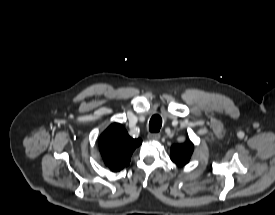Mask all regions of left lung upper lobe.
<instances>
[{"instance_id":"5c2ea615","label":"left lung upper lobe","mask_w":275,"mask_h":215,"mask_svg":"<svg viewBox=\"0 0 275 215\" xmlns=\"http://www.w3.org/2000/svg\"><path fill=\"white\" fill-rule=\"evenodd\" d=\"M193 150L194 145L190 141H187L182 145H173L171 147L170 158L174 163L183 166L189 162Z\"/></svg>"}]
</instances>
